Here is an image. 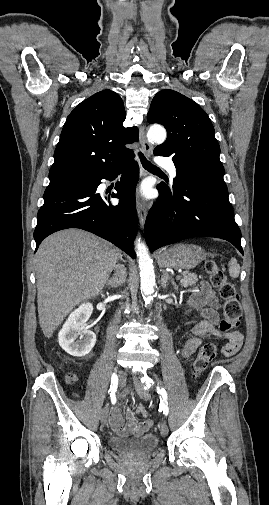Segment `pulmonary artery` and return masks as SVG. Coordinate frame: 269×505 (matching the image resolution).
<instances>
[{"label": "pulmonary artery", "mask_w": 269, "mask_h": 505, "mask_svg": "<svg viewBox=\"0 0 269 505\" xmlns=\"http://www.w3.org/2000/svg\"><path fill=\"white\" fill-rule=\"evenodd\" d=\"M158 165L166 169L172 178L176 177L177 171L174 163L170 159H159Z\"/></svg>", "instance_id": "pulmonary-artery-1"}]
</instances>
